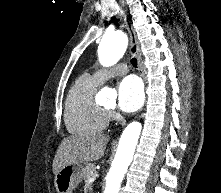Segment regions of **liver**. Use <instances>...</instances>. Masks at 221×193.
Listing matches in <instances>:
<instances>
[{"mask_svg":"<svg viewBox=\"0 0 221 193\" xmlns=\"http://www.w3.org/2000/svg\"><path fill=\"white\" fill-rule=\"evenodd\" d=\"M109 141L104 134L73 135L62 140L53 160V173L70 164L95 161L102 158Z\"/></svg>","mask_w":221,"mask_h":193,"instance_id":"1","label":"liver"}]
</instances>
